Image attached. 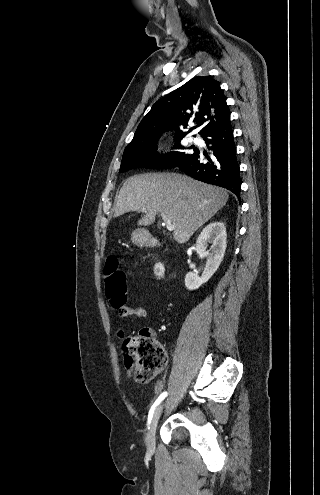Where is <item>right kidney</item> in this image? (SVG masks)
Masks as SVG:
<instances>
[{"label": "right kidney", "mask_w": 320, "mask_h": 495, "mask_svg": "<svg viewBox=\"0 0 320 495\" xmlns=\"http://www.w3.org/2000/svg\"><path fill=\"white\" fill-rule=\"evenodd\" d=\"M226 228L224 223L213 222L207 225L196 240L194 250L198 254L207 257L204 271L199 277L194 272H189L185 276V286L188 290L198 289L206 283L220 266L226 250ZM212 244L209 250H206L207 244Z\"/></svg>", "instance_id": "obj_1"}]
</instances>
